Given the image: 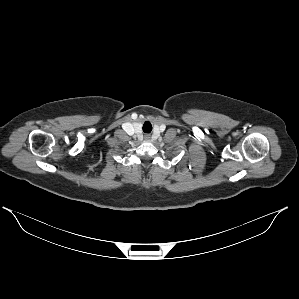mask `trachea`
Segmentation results:
<instances>
[{
	"mask_svg": "<svg viewBox=\"0 0 299 299\" xmlns=\"http://www.w3.org/2000/svg\"><path fill=\"white\" fill-rule=\"evenodd\" d=\"M142 129L144 133H150L152 131V124L149 121H145Z\"/></svg>",
	"mask_w": 299,
	"mask_h": 299,
	"instance_id": "3493384b",
	"label": "trachea"
}]
</instances>
